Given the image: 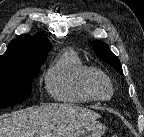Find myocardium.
<instances>
[{
  "instance_id": "f54148a6",
  "label": "myocardium",
  "mask_w": 144,
  "mask_h": 137,
  "mask_svg": "<svg viewBox=\"0 0 144 137\" xmlns=\"http://www.w3.org/2000/svg\"><path fill=\"white\" fill-rule=\"evenodd\" d=\"M99 81H103L108 84L110 87L109 96H102L99 94L97 90V84ZM83 88L90 97L97 101L110 100L114 95V85L112 80L105 72L96 68H90V70L84 76Z\"/></svg>"
}]
</instances>
